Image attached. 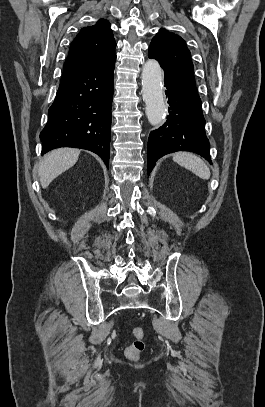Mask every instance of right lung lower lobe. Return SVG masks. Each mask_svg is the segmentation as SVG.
Masks as SVG:
<instances>
[{"mask_svg": "<svg viewBox=\"0 0 265 407\" xmlns=\"http://www.w3.org/2000/svg\"><path fill=\"white\" fill-rule=\"evenodd\" d=\"M115 59L60 82L40 133L42 155L59 147L82 148L98 154L109 168Z\"/></svg>", "mask_w": 265, "mask_h": 407, "instance_id": "right-lung-lower-lobe-1", "label": "right lung lower lobe"}]
</instances>
